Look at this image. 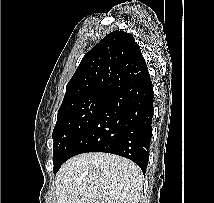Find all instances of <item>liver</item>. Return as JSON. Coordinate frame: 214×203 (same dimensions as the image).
<instances>
[{
  "label": "liver",
  "instance_id": "obj_1",
  "mask_svg": "<svg viewBox=\"0 0 214 203\" xmlns=\"http://www.w3.org/2000/svg\"><path fill=\"white\" fill-rule=\"evenodd\" d=\"M141 169L118 155L91 152L66 161L56 176L57 203H139Z\"/></svg>",
  "mask_w": 214,
  "mask_h": 203
}]
</instances>
